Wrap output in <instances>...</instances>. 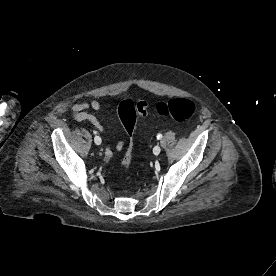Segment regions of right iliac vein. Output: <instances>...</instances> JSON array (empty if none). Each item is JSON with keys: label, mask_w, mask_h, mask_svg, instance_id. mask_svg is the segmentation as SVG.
Returning <instances> with one entry per match:
<instances>
[{"label": "right iliac vein", "mask_w": 276, "mask_h": 276, "mask_svg": "<svg viewBox=\"0 0 276 276\" xmlns=\"http://www.w3.org/2000/svg\"><path fill=\"white\" fill-rule=\"evenodd\" d=\"M99 138H100L99 136H95L94 141L98 140ZM97 145H99V144H97Z\"/></svg>", "instance_id": "63e3f726"}]
</instances>
